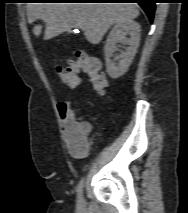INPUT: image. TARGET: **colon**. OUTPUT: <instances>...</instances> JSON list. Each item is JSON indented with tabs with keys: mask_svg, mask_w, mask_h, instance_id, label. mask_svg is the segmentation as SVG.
Returning a JSON list of instances; mask_svg holds the SVG:
<instances>
[{
	"mask_svg": "<svg viewBox=\"0 0 188 213\" xmlns=\"http://www.w3.org/2000/svg\"><path fill=\"white\" fill-rule=\"evenodd\" d=\"M55 71L69 87H76L79 84V76L84 74L89 78L91 87L96 93L103 95L106 91L105 74L100 71L98 62L86 53H78L75 59L68 60L66 64L56 65Z\"/></svg>",
	"mask_w": 188,
	"mask_h": 213,
	"instance_id": "colon-1",
	"label": "colon"
}]
</instances>
